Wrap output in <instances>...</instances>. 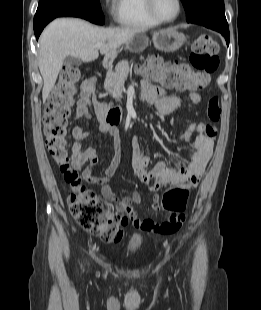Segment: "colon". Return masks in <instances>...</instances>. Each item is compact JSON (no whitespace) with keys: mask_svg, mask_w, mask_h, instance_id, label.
<instances>
[{"mask_svg":"<svg viewBox=\"0 0 261 310\" xmlns=\"http://www.w3.org/2000/svg\"><path fill=\"white\" fill-rule=\"evenodd\" d=\"M218 43L209 34H201L193 43L190 66L178 61H164L151 56L141 67L142 73L149 79L160 82L168 89L180 92L196 91L204 88L218 67ZM80 72L75 66H65L45 108L44 133L45 145L55 162L64 181L76 188L67 198L71 215L78 225L86 231L101 237L109 243H118L123 238V227L127 218L122 214L109 212L107 203L97 197L82 184L78 173L69 163L67 141L69 118L75 104L77 82ZM207 117L210 122H218L221 108L217 97L208 101ZM199 130L207 137L216 136V128L211 124L200 123ZM194 185L183 182L167 191L158 206L168 212L167 219L143 223V227L156 234L171 235L178 232L186 221L185 210L189 194Z\"/></svg>","mask_w":261,"mask_h":310,"instance_id":"5ec220e1","label":"colon"}]
</instances>
